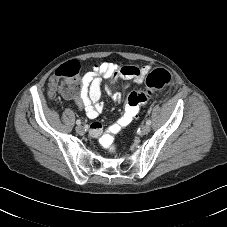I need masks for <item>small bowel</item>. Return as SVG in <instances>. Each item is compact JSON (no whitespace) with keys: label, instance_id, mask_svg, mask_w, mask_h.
<instances>
[{"label":"small bowel","instance_id":"obj_1","mask_svg":"<svg viewBox=\"0 0 227 227\" xmlns=\"http://www.w3.org/2000/svg\"><path fill=\"white\" fill-rule=\"evenodd\" d=\"M137 68L141 74L137 77H129L124 71ZM151 67L148 65L135 67L125 64L118 65L112 62H101L92 66L82 77L81 90L79 97H72L64 93L65 98L75 101L78 107L85 111L86 116L93 120L89 125V133L93 137H98L103 132V126L95 120L103 110V104L100 101L102 79H109V85L105 86L106 91L113 101H118L119 97L110 91L112 82L118 78L125 81L131 80L133 83L140 84L145 76L150 72ZM58 73L51 77V80L57 78Z\"/></svg>","mask_w":227,"mask_h":227}]
</instances>
